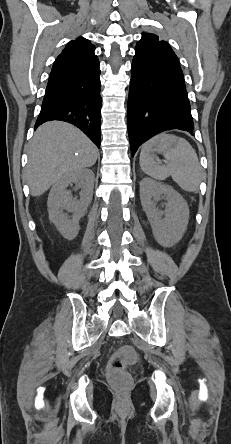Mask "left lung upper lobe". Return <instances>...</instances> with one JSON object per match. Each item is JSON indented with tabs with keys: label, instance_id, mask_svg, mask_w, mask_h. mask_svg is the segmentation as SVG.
<instances>
[{
	"label": "left lung upper lobe",
	"instance_id": "obj_1",
	"mask_svg": "<svg viewBox=\"0 0 231 444\" xmlns=\"http://www.w3.org/2000/svg\"><path fill=\"white\" fill-rule=\"evenodd\" d=\"M135 51L153 56H161L173 60L179 64V60L169 44L154 34L143 33L140 41L137 42Z\"/></svg>",
	"mask_w": 231,
	"mask_h": 444
}]
</instances>
